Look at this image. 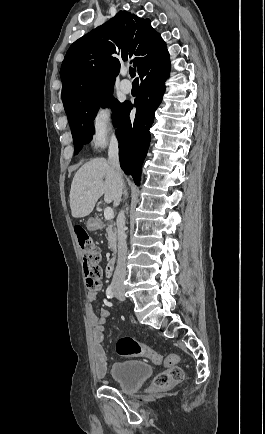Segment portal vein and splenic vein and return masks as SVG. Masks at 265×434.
<instances>
[{
	"label": "portal vein and splenic vein",
	"instance_id": "1",
	"mask_svg": "<svg viewBox=\"0 0 265 434\" xmlns=\"http://www.w3.org/2000/svg\"><path fill=\"white\" fill-rule=\"evenodd\" d=\"M104 218H105V220H112V218H114V212H113L112 208H105Z\"/></svg>",
	"mask_w": 265,
	"mask_h": 434
}]
</instances>
